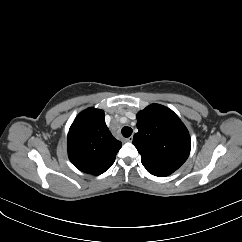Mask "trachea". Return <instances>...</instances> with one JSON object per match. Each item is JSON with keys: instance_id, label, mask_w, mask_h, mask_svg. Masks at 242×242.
<instances>
[{"instance_id": "1", "label": "trachea", "mask_w": 242, "mask_h": 242, "mask_svg": "<svg viewBox=\"0 0 242 242\" xmlns=\"http://www.w3.org/2000/svg\"><path fill=\"white\" fill-rule=\"evenodd\" d=\"M132 131H133L132 128L125 126V127L122 128L121 132H122V135L125 138H128L132 134Z\"/></svg>"}]
</instances>
